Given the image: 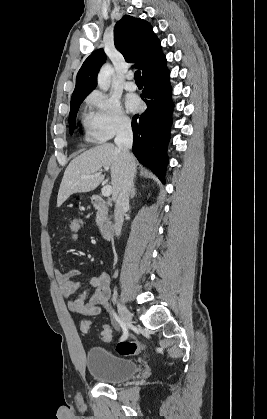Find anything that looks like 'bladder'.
Here are the masks:
<instances>
[{
  "instance_id": "1",
  "label": "bladder",
  "mask_w": 267,
  "mask_h": 419,
  "mask_svg": "<svg viewBox=\"0 0 267 419\" xmlns=\"http://www.w3.org/2000/svg\"><path fill=\"white\" fill-rule=\"evenodd\" d=\"M86 368L96 380L106 384H117L134 376L138 370L137 364L111 351L94 346L86 354Z\"/></svg>"
}]
</instances>
